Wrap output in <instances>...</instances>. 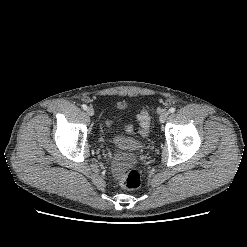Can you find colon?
<instances>
[{
	"mask_svg": "<svg viewBox=\"0 0 247 247\" xmlns=\"http://www.w3.org/2000/svg\"><path fill=\"white\" fill-rule=\"evenodd\" d=\"M137 118L140 124V133L142 136H146L149 131L150 122H151L148 111L145 108H143L139 112ZM127 130L132 131V126L127 125ZM141 182H142L141 173L135 169L126 172L125 174L122 175L120 179V185L122 186V188L127 190L138 189L141 186Z\"/></svg>",
	"mask_w": 247,
	"mask_h": 247,
	"instance_id": "colon-1",
	"label": "colon"
}]
</instances>
